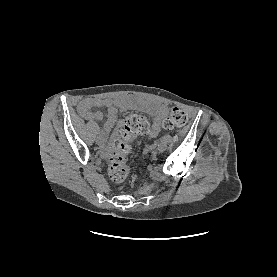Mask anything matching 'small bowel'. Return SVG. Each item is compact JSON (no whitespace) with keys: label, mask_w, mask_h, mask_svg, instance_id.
Masks as SVG:
<instances>
[{"label":"small bowel","mask_w":277,"mask_h":277,"mask_svg":"<svg viewBox=\"0 0 277 277\" xmlns=\"http://www.w3.org/2000/svg\"><path fill=\"white\" fill-rule=\"evenodd\" d=\"M144 103L131 96H122L117 98H86L78 105V113L88 121L104 120V128L102 135H106L116 124L119 114L128 109H141ZM107 108L106 113L94 110L95 108ZM149 112L154 118V126L150 132V137H156L162 129V121L166 114V106L159 103H149L147 105ZM120 133L119 129H115L113 136L116 137Z\"/></svg>","instance_id":"1"}]
</instances>
